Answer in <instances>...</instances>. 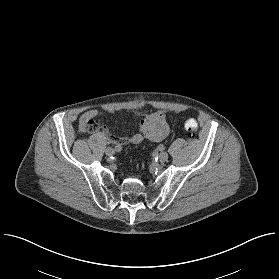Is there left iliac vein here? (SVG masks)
<instances>
[{
    "label": "left iliac vein",
    "mask_w": 279,
    "mask_h": 279,
    "mask_svg": "<svg viewBox=\"0 0 279 279\" xmlns=\"http://www.w3.org/2000/svg\"><path fill=\"white\" fill-rule=\"evenodd\" d=\"M167 159H168V153L167 152H161L159 154V160L161 162H165V161H167Z\"/></svg>",
    "instance_id": "left-iliac-vein-1"
}]
</instances>
